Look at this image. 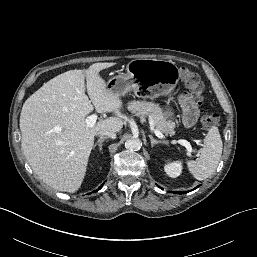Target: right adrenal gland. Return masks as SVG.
I'll return each mask as SVG.
<instances>
[{
    "mask_svg": "<svg viewBox=\"0 0 257 257\" xmlns=\"http://www.w3.org/2000/svg\"><path fill=\"white\" fill-rule=\"evenodd\" d=\"M107 139V137H101L93 146V150L98 146L99 148V152L102 151V143L104 142V140Z\"/></svg>",
    "mask_w": 257,
    "mask_h": 257,
    "instance_id": "2a0ac1e0",
    "label": "right adrenal gland"
}]
</instances>
